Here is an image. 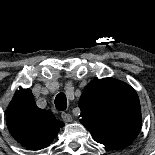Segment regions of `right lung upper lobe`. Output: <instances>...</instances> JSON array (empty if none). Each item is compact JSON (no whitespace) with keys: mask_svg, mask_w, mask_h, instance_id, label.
Instances as JSON below:
<instances>
[{"mask_svg":"<svg viewBox=\"0 0 155 155\" xmlns=\"http://www.w3.org/2000/svg\"><path fill=\"white\" fill-rule=\"evenodd\" d=\"M7 127L23 146L38 150L48 146L64 123L36 106L30 89L18 90L6 110Z\"/></svg>","mask_w":155,"mask_h":155,"instance_id":"cb5924a9","label":"right lung upper lobe"}]
</instances>
